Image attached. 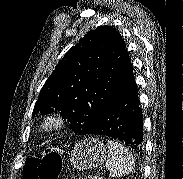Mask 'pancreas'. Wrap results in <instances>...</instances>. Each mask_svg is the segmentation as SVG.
I'll list each match as a JSON object with an SVG mask.
<instances>
[{"label": "pancreas", "mask_w": 183, "mask_h": 179, "mask_svg": "<svg viewBox=\"0 0 183 179\" xmlns=\"http://www.w3.org/2000/svg\"><path fill=\"white\" fill-rule=\"evenodd\" d=\"M79 179H89V178H87V177L84 176V177H80Z\"/></svg>", "instance_id": "obj_1"}]
</instances>
